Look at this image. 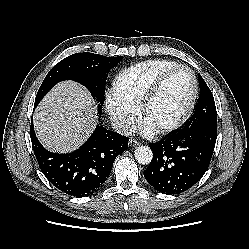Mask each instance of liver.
<instances>
[{
    "mask_svg": "<svg viewBox=\"0 0 249 249\" xmlns=\"http://www.w3.org/2000/svg\"><path fill=\"white\" fill-rule=\"evenodd\" d=\"M96 113L93 99L84 87L73 81L58 83L34 114L37 137L48 150H75L95 128Z\"/></svg>",
    "mask_w": 249,
    "mask_h": 249,
    "instance_id": "obj_1",
    "label": "liver"
}]
</instances>
